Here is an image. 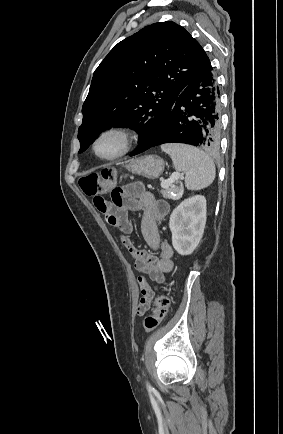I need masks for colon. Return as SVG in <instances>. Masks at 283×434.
I'll list each match as a JSON object with an SVG mask.
<instances>
[{"label": "colon", "instance_id": "colon-1", "mask_svg": "<svg viewBox=\"0 0 283 434\" xmlns=\"http://www.w3.org/2000/svg\"><path fill=\"white\" fill-rule=\"evenodd\" d=\"M116 173L107 168L100 173H90L80 177L79 185L87 196L95 197L113 187ZM169 298L166 294L158 295L154 300L152 312L144 319L145 332H153L167 315Z\"/></svg>", "mask_w": 283, "mask_h": 434}]
</instances>
